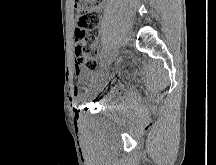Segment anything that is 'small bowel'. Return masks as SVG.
<instances>
[{
	"instance_id": "1",
	"label": "small bowel",
	"mask_w": 216,
	"mask_h": 165,
	"mask_svg": "<svg viewBox=\"0 0 216 165\" xmlns=\"http://www.w3.org/2000/svg\"><path fill=\"white\" fill-rule=\"evenodd\" d=\"M101 9H102V7L99 8V10H101ZM76 72H77V75H80V74H81V71H80L79 68L76 69ZM82 76H83V78H85V79L88 78L87 75H84V74H83ZM79 92H80L79 89L75 88V89H74V92H73V96H74V97H77L78 94H79Z\"/></svg>"
}]
</instances>
